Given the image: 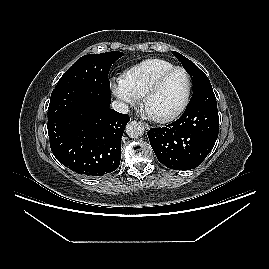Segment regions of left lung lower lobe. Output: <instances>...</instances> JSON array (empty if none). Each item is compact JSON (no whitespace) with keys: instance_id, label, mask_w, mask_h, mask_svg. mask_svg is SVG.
I'll list each match as a JSON object with an SVG mask.
<instances>
[{"instance_id":"obj_1","label":"left lung lower lobe","mask_w":269,"mask_h":269,"mask_svg":"<svg viewBox=\"0 0 269 269\" xmlns=\"http://www.w3.org/2000/svg\"><path fill=\"white\" fill-rule=\"evenodd\" d=\"M216 97L212 86L193 94L182 116L166 127L148 131L160 163L175 170H190L210 153L219 130Z\"/></svg>"}]
</instances>
